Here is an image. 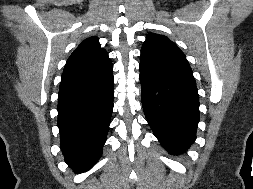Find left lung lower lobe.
I'll list each match as a JSON object with an SVG mask.
<instances>
[{"label": "left lung lower lobe", "instance_id": "left-lung-lower-lobe-1", "mask_svg": "<svg viewBox=\"0 0 253 189\" xmlns=\"http://www.w3.org/2000/svg\"><path fill=\"white\" fill-rule=\"evenodd\" d=\"M143 110L154 135L171 154L196 139L199 96L195 81L140 64Z\"/></svg>", "mask_w": 253, "mask_h": 189}]
</instances>
